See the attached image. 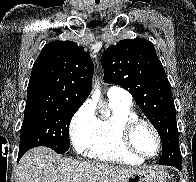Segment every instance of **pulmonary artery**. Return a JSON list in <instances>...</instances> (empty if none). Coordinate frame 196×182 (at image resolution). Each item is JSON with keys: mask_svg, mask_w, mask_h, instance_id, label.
Listing matches in <instances>:
<instances>
[{"mask_svg": "<svg viewBox=\"0 0 196 182\" xmlns=\"http://www.w3.org/2000/svg\"><path fill=\"white\" fill-rule=\"evenodd\" d=\"M107 96L109 99L120 100L127 103H131L132 101L131 94L119 86H111L107 91Z\"/></svg>", "mask_w": 196, "mask_h": 182, "instance_id": "e3ab8cb5", "label": "pulmonary artery"}]
</instances>
